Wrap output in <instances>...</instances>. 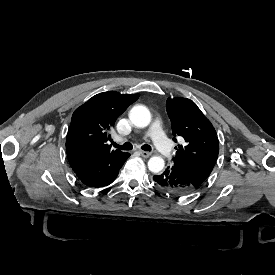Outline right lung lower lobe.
<instances>
[{
  "label": "right lung lower lobe",
  "mask_w": 275,
  "mask_h": 275,
  "mask_svg": "<svg viewBox=\"0 0 275 275\" xmlns=\"http://www.w3.org/2000/svg\"><path fill=\"white\" fill-rule=\"evenodd\" d=\"M129 153L111 154L70 164L77 178L90 187H104L111 184L118 175Z\"/></svg>",
  "instance_id": "1"
}]
</instances>
